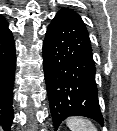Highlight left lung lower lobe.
I'll list each match as a JSON object with an SVG mask.
<instances>
[{
	"label": "left lung lower lobe",
	"instance_id": "0a47b994",
	"mask_svg": "<svg viewBox=\"0 0 117 131\" xmlns=\"http://www.w3.org/2000/svg\"><path fill=\"white\" fill-rule=\"evenodd\" d=\"M43 65L55 127L74 115L89 117L103 125L89 34L73 9L59 10L48 26Z\"/></svg>",
	"mask_w": 117,
	"mask_h": 131
}]
</instances>
